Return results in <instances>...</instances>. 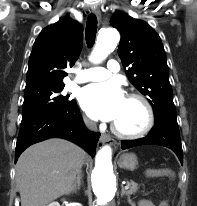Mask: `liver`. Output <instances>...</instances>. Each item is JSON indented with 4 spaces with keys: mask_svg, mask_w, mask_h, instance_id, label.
Segmentation results:
<instances>
[{
    "mask_svg": "<svg viewBox=\"0 0 197 206\" xmlns=\"http://www.w3.org/2000/svg\"><path fill=\"white\" fill-rule=\"evenodd\" d=\"M88 155L64 139H48L27 148L16 165L21 206H47L72 191Z\"/></svg>",
    "mask_w": 197,
    "mask_h": 206,
    "instance_id": "obj_1",
    "label": "liver"
}]
</instances>
